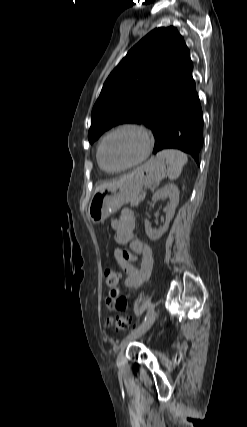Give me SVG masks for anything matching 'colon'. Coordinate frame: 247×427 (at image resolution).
<instances>
[{
	"mask_svg": "<svg viewBox=\"0 0 247 427\" xmlns=\"http://www.w3.org/2000/svg\"><path fill=\"white\" fill-rule=\"evenodd\" d=\"M119 279L120 275L117 272L113 270L106 271L105 283L110 290H114L115 288H117ZM133 325L134 322L131 316H117L115 318V327L118 330H129L133 327Z\"/></svg>",
	"mask_w": 247,
	"mask_h": 427,
	"instance_id": "obj_1",
	"label": "colon"
}]
</instances>
